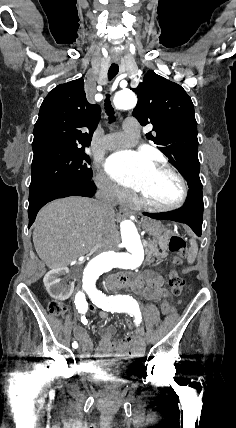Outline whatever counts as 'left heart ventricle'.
I'll return each mask as SVG.
<instances>
[{
    "label": "left heart ventricle",
    "mask_w": 236,
    "mask_h": 428,
    "mask_svg": "<svg viewBox=\"0 0 236 428\" xmlns=\"http://www.w3.org/2000/svg\"><path fill=\"white\" fill-rule=\"evenodd\" d=\"M180 192L177 179L165 170L160 169H154L148 174L140 190V193L148 200L160 205L174 203L179 198Z\"/></svg>",
    "instance_id": "obj_1"
}]
</instances>
